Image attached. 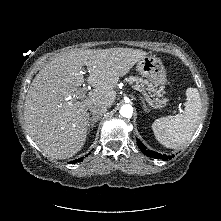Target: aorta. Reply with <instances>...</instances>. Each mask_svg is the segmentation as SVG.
<instances>
[{
  "label": "aorta",
  "mask_w": 221,
  "mask_h": 221,
  "mask_svg": "<svg viewBox=\"0 0 221 221\" xmlns=\"http://www.w3.org/2000/svg\"><path fill=\"white\" fill-rule=\"evenodd\" d=\"M120 114L125 118H130L133 114V108L131 105H123L120 109Z\"/></svg>",
  "instance_id": "aorta-1"
}]
</instances>
